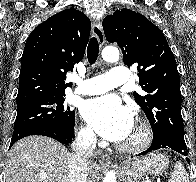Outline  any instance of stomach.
I'll return each instance as SVG.
<instances>
[{
	"mask_svg": "<svg viewBox=\"0 0 196 182\" xmlns=\"http://www.w3.org/2000/svg\"><path fill=\"white\" fill-rule=\"evenodd\" d=\"M169 160L161 153L137 158L122 168V179L125 182H138L145 175H161L166 172Z\"/></svg>",
	"mask_w": 196,
	"mask_h": 182,
	"instance_id": "0dacf381",
	"label": "stomach"
}]
</instances>
